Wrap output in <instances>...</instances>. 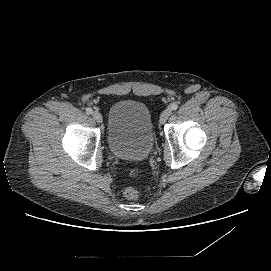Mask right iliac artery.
<instances>
[{"mask_svg":"<svg viewBox=\"0 0 271 271\" xmlns=\"http://www.w3.org/2000/svg\"><path fill=\"white\" fill-rule=\"evenodd\" d=\"M86 113H87L88 115H90V114L93 113V110H92L91 108H87V109H86Z\"/></svg>","mask_w":271,"mask_h":271,"instance_id":"right-iliac-artery-1","label":"right iliac artery"}]
</instances>
